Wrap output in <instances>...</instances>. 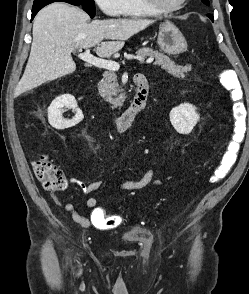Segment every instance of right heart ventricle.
Wrapping results in <instances>:
<instances>
[{
	"mask_svg": "<svg viewBox=\"0 0 249 294\" xmlns=\"http://www.w3.org/2000/svg\"><path fill=\"white\" fill-rule=\"evenodd\" d=\"M119 15L132 17L152 16L154 13L142 0H121Z\"/></svg>",
	"mask_w": 249,
	"mask_h": 294,
	"instance_id": "1",
	"label": "right heart ventricle"
}]
</instances>
